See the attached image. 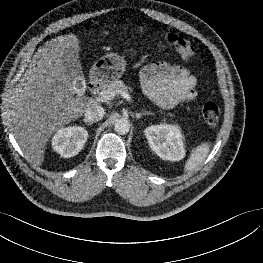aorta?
<instances>
[{
	"label": "aorta",
	"mask_w": 263,
	"mask_h": 263,
	"mask_svg": "<svg viewBox=\"0 0 263 263\" xmlns=\"http://www.w3.org/2000/svg\"><path fill=\"white\" fill-rule=\"evenodd\" d=\"M114 130L118 134H121V135L128 133L130 130L129 121L125 118H121V119L116 120L115 125H114Z\"/></svg>",
	"instance_id": "aorta-1"
}]
</instances>
